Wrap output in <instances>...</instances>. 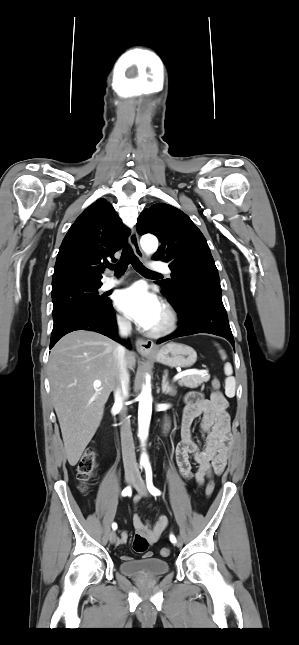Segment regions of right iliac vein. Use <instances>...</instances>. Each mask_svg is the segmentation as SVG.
<instances>
[{
	"label": "right iliac vein",
	"instance_id": "right-iliac-vein-1",
	"mask_svg": "<svg viewBox=\"0 0 299 645\" xmlns=\"http://www.w3.org/2000/svg\"><path fill=\"white\" fill-rule=\"evenodd\" d=\"M125 480L128 484H131L135 481V475L133 473L125 474ZM117 540V534L115 531H111L109 534V541L111 544H114Z\"/></svg>",
	"mask_w": 299,
	"mask_h": 645
}]
</instances>
